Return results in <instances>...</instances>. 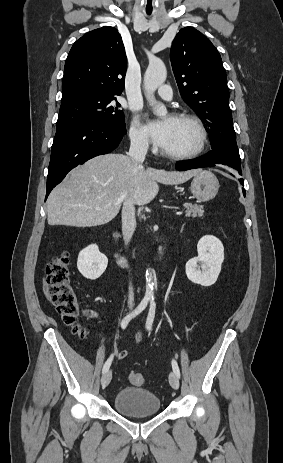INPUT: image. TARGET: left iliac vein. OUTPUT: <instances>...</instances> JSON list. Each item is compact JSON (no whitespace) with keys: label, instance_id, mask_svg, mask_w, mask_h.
Listing matches in <instances>:
<instances>
[{"label":"left iliac vein","instance_id":"obj_1","mask_svg":"<svg viewBox=\"0 0 283 463\" xmlns=\"http://www.w3.org/2000/svg\"><path fill=\"white\" fill-rule=\"evenodd\" d=\"M169 383L173 389L177 390L179 388V378L174 372L169 374Z\"/></svg>","mask_w":283,"mask_h":463}]
</instances>
